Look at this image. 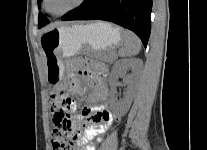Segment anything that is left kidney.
I'll return each mask as SVG.
<instances>
[{"instance_id": "obj_1", "label": "left kidney", "mask_w": 207, "mask_h": 150, "mask_svg": "<svg viewBox=\"0 0 207 150\" xmlns=\"http://www.w3.org/2000/svg\"><path fill=\"white\" fill-rule=\"evenodd\" d=\"M138 64H139L138 60H120L116 62L113 66L111 72V79H110V84L112 86L110 105L112 111L117 116H124L128 112L135 96V89L133 87H130L124 99L121 102H116L114 97V93L116 92L114 88L115 82L119 76L125 75L128 69H132L133 71H136L138 69ZM132 80H133V75L128 76L126 78V83L131 84Z\"/></svg>"}]
</instances>
